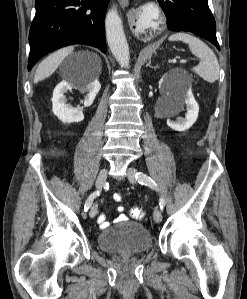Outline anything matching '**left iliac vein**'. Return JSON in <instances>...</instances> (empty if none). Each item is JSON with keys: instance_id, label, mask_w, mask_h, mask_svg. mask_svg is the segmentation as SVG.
<instances>
[{"instance_id": "obj_1", "label": "left iliac vein", "mask_w": 247, "mask_h": 299, "mask_svg": "<svg viewBox=\"0 0 247 299\" xmlns=\"http://www.w3.org/2000/svg\"><path fill=\"white\" fill-rule=\"evenodd\" d=\"M136 174H137V170L135 168H133V167L128 168V179L133 184L136 183V181H137V179L135 177ZM153 217H154L155 222H157V223H160L162 221V213L158 208H156L154 210Z\"/></svg>"}]
</instances>
